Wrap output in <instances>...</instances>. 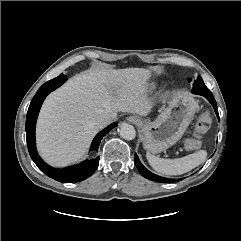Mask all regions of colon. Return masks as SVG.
Segmentation results:
<instances>
[{
    "mask_svg": "<svg viewBox=\"0 0 241 241\" xmlns=\"http://www.w3.org/2000/svg\"><path fill=\"white\" fill-rule=\"evenodd\" d=\"M211 126V116L208 112L202 113L195 125L193 136L187 140L186 147L195 150L201 146L202 136L209 130Z\"/></svg>",
    "mask_w": 241,
    "mask_h": 241,
    "instance_id": "5ec220e1",
    "label": "colon"
}]
</instances>
